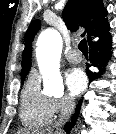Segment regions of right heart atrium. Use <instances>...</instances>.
Masks as SVG:
<instances>
[{"label":"right heart atrium","mask_w":116,"mask_h":134,"mask_svg":"<svg viewBox=\"0 0 116 134\" xmlns=\"http://www.w3.org/2000/svg\"><path fill=\"white\" fill-rule=\"evenodd\" d=\"M51 107L54 114L57 115L68 114L74 107V100L69 96L53 98L51 100Z\"/></svg>","instance_id":"d8ad5b80"}]
</instances>
